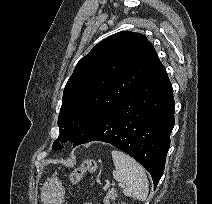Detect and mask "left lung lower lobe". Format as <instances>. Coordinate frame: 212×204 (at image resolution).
<instances>
[{
	"mask_svg": "<svg viewBox=\"0 0 212 204\" xmlns=\"http://www.w3.org/2000/svg\"><path fill=\"white\" fill-rule=\"evenodd\" d=\"M173 126V89L161 65L108 110L74 146L91 141L110 143L142 164L155 188L164 172Z\"/></svg>",
	"mask_w": 212,
	"mask_h": 204,
	"instance_id": "obj_1",
	"label": "left lung lower lobe"
}]
</instances>
